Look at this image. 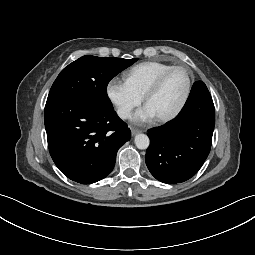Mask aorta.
Returning <instances> with one entry per match:
<instances>
[{"label":"aorta","instance_id":"aorta-1","mask_svg":"<svg viewBox=\"0 0 255 255\" xmlns=\"http://www.w3.org/2000/svg\"><path fill=\"white\" fill-rule=\"evenodd\" d=\"M135 145L138 149L144 150L149 147L150 140L149 137L145 134H138L134 139Z\"/></svg>","mask_w":255,"mask_h":255}]
</instances>
